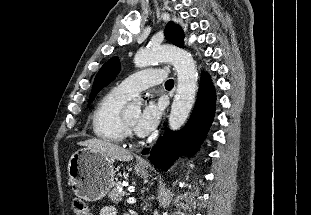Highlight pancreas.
Instances as JSON below:
<instances>
[{
    "label": "pancreas",
    "instance_id": "cf45deb5",
    "mask_svg": "<svg viewBox=\"0 0 311 215\" xmlns=\"http://www.w3.org/2000/svg\"><path fill=\"white\" fill-rule=\"evenodd\" d=\"M123 188L122 183H118L116 187L109 193V198L114 202L117 203L122 200V197L126 195L125 192H121L120 189Z\"/></svg>",
    "mask_w": 311,
    "mask_h": 215
}]
</instances>
